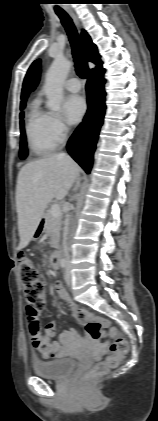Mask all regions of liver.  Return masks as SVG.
Instances as JSON below:
<instances>
[{"mask_svg": "<svg viewBox=\"0 0 158 421\" xmlns=\"http://www.w3.org/2000/svg\"><path fill=\"white\" fill-rule=\"evenodd\" d=\"M79 171L72 158L61 154L29 162L20 169L16 185L20 249L31 241L49 202L68 194Z\"/></svg>", "mask_w": 158, "mask_h": 421, "instance_id": "liver-1", "label": "liver"}]
</instances>
